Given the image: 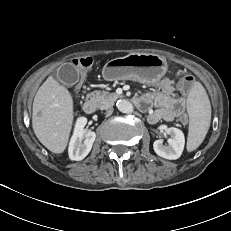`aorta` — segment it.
Listing matches in <instances>:
<instances>
[{"label":"aorta","mask_w":231,"mask_h":231,"mask_svg":"<svg viewBox=\"0 0 231 231\" xmlns=\"http://www.w3.org/2000/svg\"><path fill=\"white\" fill-rule=\"evenodd\" d=\"M118 110L122 113H131L134 110L133 105L127 100H119L116 104Z\"/></svg>","instance_id":"762f6f07"}]
</instances>
